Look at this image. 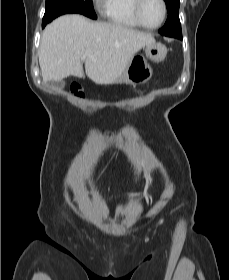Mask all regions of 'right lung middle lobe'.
I'll return each instance as SVG.
<instances>
[{"label":"right lung middle lobe","instance_id":"obj_1","mask_svg":"<svg viewBox=\"0 0 229 280\" xmlns=\"http://www.w3.org/2000/svg\"><path fill=\"white\" fill-rule=\"evenodd\" d=\"M66 13H80L96 19L92 0H46L44 22H51L56 17Z\"/></svg>","mask_w":229,"mask_h":280}]
</instances>
